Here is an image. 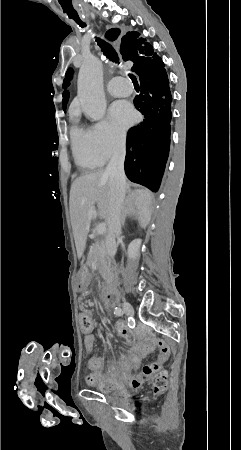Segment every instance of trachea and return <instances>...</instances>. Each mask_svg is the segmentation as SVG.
Here are the masks:
<instances>
[{
	"label": "trachea",
	"mask_w": 241,
	"mask_h": 450,
	"mask_svg": "<svg viewBox=\"0 0 241 450\" xmlns=\"http://www.w3.org/2000/svg\"><path fill=\"white\" fill-rule=\"evenodd\" d=\"M76 23H78V25H80V27L82 28L86 26V24L83 22H76ZM96 41L107 58H109L112 62L119 63L118 55L115 52L114 48L111 47V45H109V43L104 42V40H101L100 38H96ZM129 77L132 80V83H134V85H138V81L135 75L130 73Z\"/></svg>",
	"instance_id": "trachea-1"
}]
</instances>
